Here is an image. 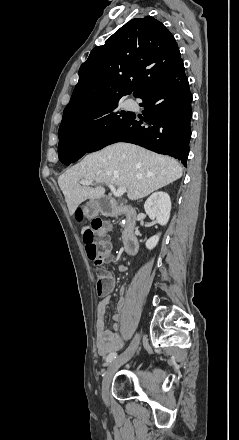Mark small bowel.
Here are the masks:
<instances>
[{
  "instance_id": "c3829d8e",
  "label": "small bowel",
  "mask_w": 239,
  "mask_h": 440,
  "mask_svg": "<svg viewBox=\"0 0 239 440\" xmlns=\"http://www.w3.org/2000/svg\"><path fill=\"white\" fill-rule=\"evenodd\" d=\"M126 265H120V271L127 270ZM113 289V279L109 274V286L107 291L103 294L104 296L99 300L97 306V322H96V345L98 353L102 356L109 355L112 352H116L123 347V339L120 334V321H121V311L123 309V303L120 302L117 308V313L113 315V329H106L105 326V316L106 307L109 302V293ZM122 293L125 291V286L121 287Z\"/></svg>"
}]
</instances>
